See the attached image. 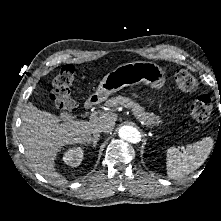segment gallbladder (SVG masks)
Returning <instances> with one entry per match:
<instances>
[{"mask_svg":"<svg viewBox=\"0 0 221 221\" xmlns=\"http://www.w3.org/2000/svg\"><path fill=\"white\" fill-rule=\"evenodd\" d=\"M36 94L38 95V94H39V92H36ZM63 118H64V116H63Z\"/></svg>","mask_w":221,"mask_h":221,"instance_id":"gallbladder-1","label":"gallbladder"}]
</instances>
